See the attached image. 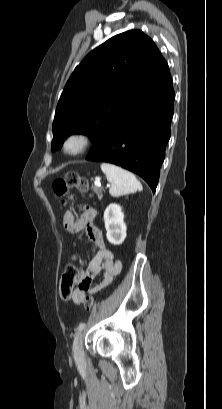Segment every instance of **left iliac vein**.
<instances>
[{"label":"left iliac vein","instance_id":"obj_1","mask_svg":"<svg viewBox=\"0 0 222 409\" xmlns=\"http://www.w3.org/2000/svg\"><path fill=\"white\" fill-rule=\"evenodd\" d=\"M73 350H74V357L79 359L82 356L83 349H82V332H79L73 343Z\"/></svg>","mask_w":222,"mask_h":409}]
</instances>
